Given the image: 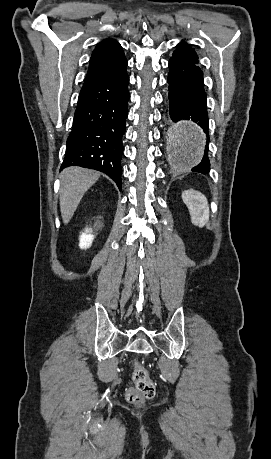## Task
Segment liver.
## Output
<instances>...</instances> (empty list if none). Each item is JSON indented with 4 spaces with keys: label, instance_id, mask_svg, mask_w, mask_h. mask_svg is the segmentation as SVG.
Returning <instances> with one entry per match:
<instances>
[{
    "label": "liver",
    "instance_id": "obj_1",
    "mask_svg": "<svg viewBox=\"0 0 271 459\" xmlns=\"http://www.w3.org/2000/svg\"><path fill=\"white\" fill-rule=\"evenodd\" d=\"M100 174L93 170L71 166L61 174L60 212L64 224H68L85 192L97 182Z\"/></svg>",
    "mask_w": 271,
    "mask_h": 459
}]
</instances>
